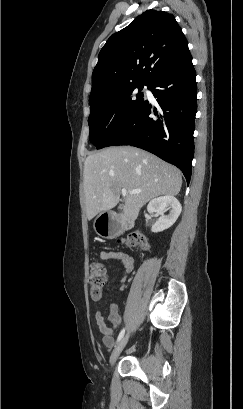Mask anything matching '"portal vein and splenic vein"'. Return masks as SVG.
<instances>
[{
  "label": "portal vein and splenic vein",
  "mask_w": 243,
  "mask_h": 409,
  "mask_svg": "<svg viewBox=\"0 0 243 409\" xmlns=\"http://www.w3.org/2000/svg\"><path fill=\"white\" fill-rule=\"evenodd\" d=\"M128 193H130V194H139V193H141V190L136 189V190H132V191H127L125 188H123L121 190V194H122L123 197H126L128 195Z\"/></svg>",
  "instance_id": "portal-vein-and-splenic-vein-1"
}]
</instances>
